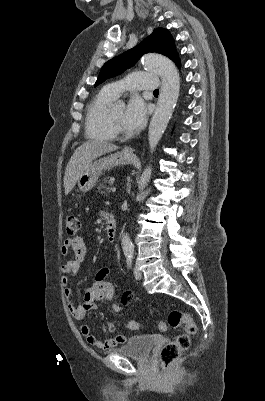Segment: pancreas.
Listing matches in <instances>:
<instances>
[{
  "mask_svg": "<svg viewBox=\"0 0 265 401\" xmlns=\"http://www.w3.org/2000/svg\"><path fill=\"white\" fill-rule=\"evenodd\" d=\"M113 176H106L104 178L103 182H99V186H97L98 190L102 192V194H106L105 190H110L111 184L113 182L112 180ZM104 184H108V186H104ZM104 188V190H102Z\"/></svg>",
  "mask_w": 265,
  "mask_h": 401,
  "instance_id": "1",
  "label": "pancreas"
}]
</instances>
